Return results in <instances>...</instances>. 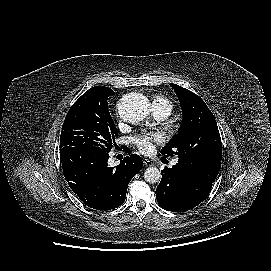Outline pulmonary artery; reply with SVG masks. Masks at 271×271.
Listing matches in <instances>:
<instances>
[{
    "mask_svg": "<svg viewBox=\"0 0 271 271\" xmlns=\"http://www.w3.org/2000/svg\"><path fill=\"white\" fill-rule=\"evenodd\" d=\"M153 111H154V114L156 116L157 119L159 120H163L165 118L168 117V115L170 114L171 110L166 107V106H162V105H159V104H156L154 103L153 105ZM177 164V161L174 160L171 165L174 166Z\"/></svg>",
    "mask_w": 271,
    "mask_h": 271,
    "instance_id": "1",
    "label": "pulmonary artery"
}]
</instances>
